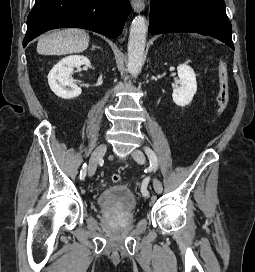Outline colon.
Wrapping results in <instances>:
<instances>
[{
    "mask_svg": "<svg viewBox=\"0 0 255 272\" xmlns=\"http://www.w3.org/2000/svg\"><path fill=\"white\" fill-rule=\"evenodd\" d=\"M218 80L219 89L217 94L218 112L223 114L227 108L229 102V86H228V70L227 63L221 60L218 65ZM111 180L114 183H118L121 180L119 174H113Z\"/></svg>",
    "mask_w": 255,
    "mask_h": 272,
    "instance_id": "obj_1",
    "label": "colon"
}]
</instances>
